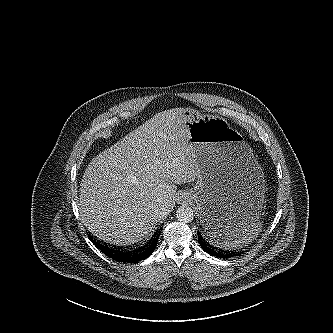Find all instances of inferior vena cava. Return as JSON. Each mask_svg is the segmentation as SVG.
<instances>
[{
  "label": "inferior vena cava",
  "mask_w": 333,
  "mask_h": 333,
  "mask_svg": "<svg viewBox=\"0 0 333 333\" xmlns=\"http://www.w3.org/2000/svg\"><path fill=\"white\" fill-rule=\"evenodd\" d=\"M158 212L161 215H164L167 212V209H166L165 205H161L160 209H158Z\"/></svg>",
  "instance_id": "1"
}]
</instances>
